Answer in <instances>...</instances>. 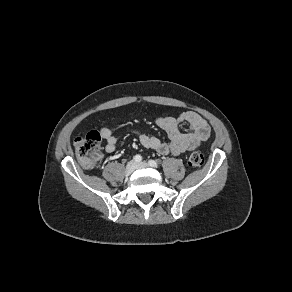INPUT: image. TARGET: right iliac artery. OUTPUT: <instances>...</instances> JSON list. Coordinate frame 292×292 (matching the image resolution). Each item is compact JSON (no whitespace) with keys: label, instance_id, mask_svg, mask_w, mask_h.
Instances as JSON below:
<instances>
[{"label":"right iliac artery","instance_id":"1","mask_svg":"<svg viewBox=\"0 0 292 292\" xmlns=\"http://www.w3.org/2000/svg\"><path fill=\"white\" fill-rule=\"evenodd\" d=\"M134 161H135V162H141V161H142V157H141V155H136V156H134Z\"/></svg>","mask_w":292,"mask_h":292}]
</instances>
